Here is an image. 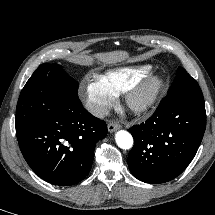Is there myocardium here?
Here are the masks:
<instances>
[{
  "instance_id": "1",
  "label": "myocardium",
  "mask_w": 215,
  "mask_h": 215,
  "mask_svg": "<svg viewBox=\"0 0 215 215\" xmlns=\"http://www.w3.org/2000/svg\"><path fill=\"white\" fill-rule=\"evenodd\" d=\"M166 86V79L160 73H152L132 86L124 94L126 108L136 116L150 113L159 101Z\"/></svg>"
}]
</instances>
